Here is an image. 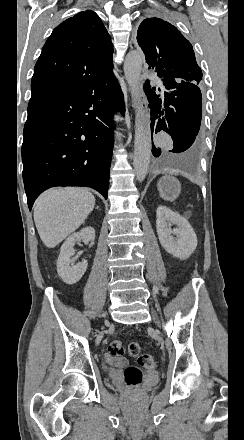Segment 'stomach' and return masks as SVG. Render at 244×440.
Wrapping results in <instances>:
<instances>
[{"label":"stomach","mask_w":244,"mask_h":440,"mask_svg":"<svg viewBox=\"0 0 244 440\" xmlns=\"http://www.w3.org/2000/svg\"><path fill=\"white\" fill-rule=\"evenodd\" d=\"M158 192L163 198V200H168V202H173L178 198L181 192V184L170 174H166L163 178H160L158 184Z\"/></svg>","instance_id":"1"}]
</instances>
